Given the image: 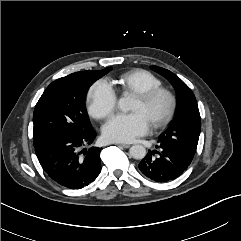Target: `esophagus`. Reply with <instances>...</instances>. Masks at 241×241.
I'll list each match as a JSON object with an SVG mask.
<instances>
[{"label": "esophagus", "mask_w": 241, "mask_h": 241, "mask_svg": "<svg viewBox=\"0 0 241 241\" xmlns=\"http://www.w3.org/2000/svg\"><path fill=\"white\" fill-rule=\"evenodd\" d=\"M117 145H119V146H121V147H123V148H129L130 147V145L129 144H117Z\"/></svg>", "instance_id": "1"}]
</instances>
